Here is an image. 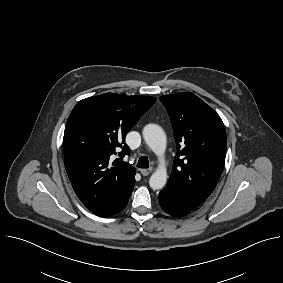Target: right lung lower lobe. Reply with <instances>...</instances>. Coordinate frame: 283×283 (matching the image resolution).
<instances>
[{
  "label": "right lung lower lobe",
  "instance_id": "obj_1",
  "mask_svg": "<svg viewBox=\"0 0 283 283\" xmlns=\"http://www.w3.org/2000/svg\"><path fill=\"white\" fill-rule=\"evenodd\" d=\"M127 203H128V200H127V202H126L116 213H119L121 210H123V209L126 207ZM116 213H115V214H116Z\"/></svg>",
  "mask_w": 283,
  "mask_h": 283
}]
</instances>
